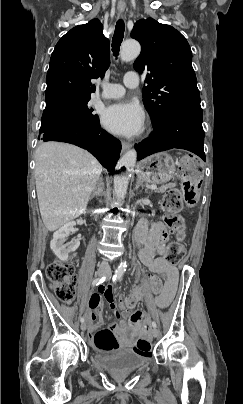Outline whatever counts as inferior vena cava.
<instances>
[{
    "label": "inferior vena cava",
    "mask_w": 243,
    "mask_h": 404,
    "mask_svg": "<svg viewBox=\"0 0 243 404\" xmlns=\"http://www.w3.org/2000/svg\"><path fill=\"white\" fill-rule=\"evenodd\" d=\"M98 273L99 274H104V273H106V274H109L110 272H111V267H110V265L107 263V262H102L100 265H99V268H98Z\"/></svg>",
    "instance_id": "602c4592"
}]
</instances>
